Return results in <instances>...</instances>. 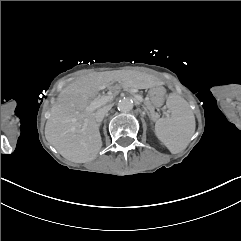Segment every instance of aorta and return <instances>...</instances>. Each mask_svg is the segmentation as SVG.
Returning a JSON list of instances; mask_svg holds the SVG:
<instances>
[{"instance_id": "762f6f07", "label": "aorta", "mask_w": 241, "mask_h": 241, "mask_svg": "<svg viewBox=\"0 0 241 241\" xmlns=\"http://www.w3.org/2000/svg\"><path fill=\"white\" fill-rule=\"evenodd\" d=\"M133 109V100L126 97L122 98L118 102V110L121 112H129Z\"/></svg>"}]
</instances>
